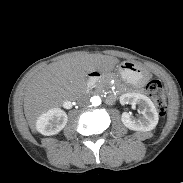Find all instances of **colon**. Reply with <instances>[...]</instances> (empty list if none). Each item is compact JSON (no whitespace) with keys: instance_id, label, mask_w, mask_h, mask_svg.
<instances>
[{"instance_id":"5ec220e1","label":"colon","mask_w":183,"mask_h":183,"mask_svg":"<svg viewBox=\"0 0 183 183\" xmlns=\"http://www.w3.org/2000/svg\"><path fill=\"white\" fill-rule=\"evenodd\" d=\"M146 93L156 103L160 115H164L166 110V98L162 83L159 80H150L146 85Z\"/></svg>"}]
</instances>
